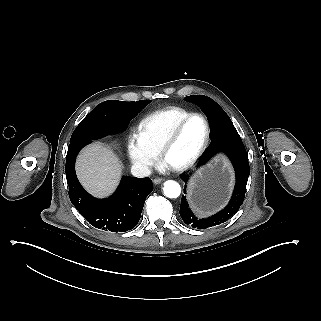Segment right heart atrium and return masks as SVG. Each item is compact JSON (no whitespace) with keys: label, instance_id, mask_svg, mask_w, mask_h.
I'll return each instance as SVG.
<instances>
[{"label":"right heart atrium","instance_id":"obj_1","mask_svg":"<svg viewBox=\"0 0 321 321\" xmlns=\"http://www.w3.org/2000/svg\"><path fill=\"white\" fill-rule=\"evenodd\" d=\"M129 158L138 172L149 175L158 161V153L144 140L140 132H133L128 141Z\"/></svg>","mask_w":321,"mask_h":321}]
</instances>
